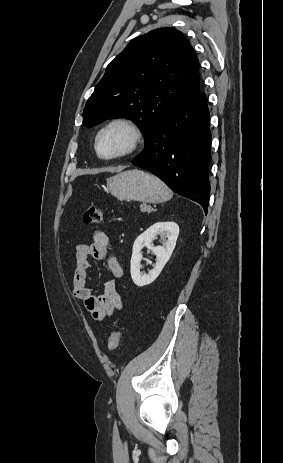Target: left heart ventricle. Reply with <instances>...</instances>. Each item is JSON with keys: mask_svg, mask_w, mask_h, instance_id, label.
<instances>
[{"mask_svg": "<svg viewBox=\"0 0 283 463\" xmlns=\"http://www.w3.org/2000/svg\"><path fill=\"white\" fill-rule=\"evenodd\" d=\"M129 142L128 132L121 128L115 127L105 132L98 144L99 153L102 156H110L123 150Z\"/></svg>", "mask_w": 283, "mask_h": 463, "instance_id": "1", "label": "left heart ventricle"}]
</instances>
